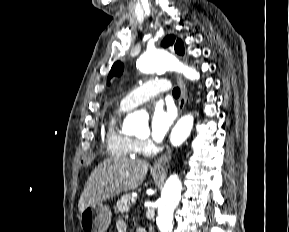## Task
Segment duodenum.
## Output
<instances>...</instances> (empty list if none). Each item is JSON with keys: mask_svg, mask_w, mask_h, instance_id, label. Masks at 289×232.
<instances>
[{"mask_svg": "<svg viewBox=\"0 0 289 232\" xmlns=\"http://www.w3.org/2000/svg\"><path fill=\"white\" fill-rule=\"evenodd\" d=\"M137 232H146V230L143 228H139Z\"/></svg>", "mask_w": 289, "mask_h": 232, "instance_id": "obj_1", "label": "duodenum"}]
</instances>
